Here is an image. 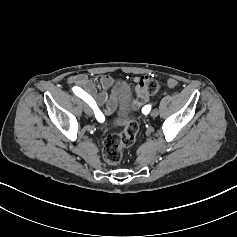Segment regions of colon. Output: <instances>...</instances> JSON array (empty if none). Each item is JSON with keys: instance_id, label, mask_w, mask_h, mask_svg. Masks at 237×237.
I'll use <instances>...</instances> for the list:
<instances>
[{"instance_id": "colon-1", "label": "colon", "mask_w": 237, "mask_h": 237, "mask_svg": "<svg viewBox=\"0 0 237 237\" xmlns=\"http://www.w3.org/2000/svg\"><path fill=\"white\" fill-rule=\"evenodd\" d=\"M160 84L157 80H149L145 83L143 92L146 96L158 91ZM117 123L123 128L119 134L111 133L103 141L102 156L106 163L112 166L118 165L123 157V148L134 144L139 131L136 121L119 118Z\"/></svg>"}]
</instances>
